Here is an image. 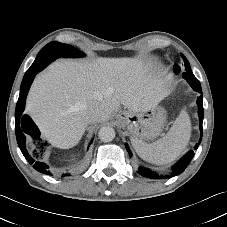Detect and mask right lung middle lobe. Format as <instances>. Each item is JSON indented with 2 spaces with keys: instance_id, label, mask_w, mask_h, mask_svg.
<instances>
[{
  "instance_id": "right-lung-middle-lobe-1",
  "label": "right lung middle lobe",
  "mask_w": 227,
  "mask_h": 227,
  "mask_svg": "<svg viewBox=\"0 0 227 227\" xmlns=\"http://www.w3.org/2000/svg\"><path fill=\"white\" fill-rule=\"evenodd\" d=\"M52 53L53 55H56L57 57H82L84 56V53L80 50L64 43L60 42H50L46 46H44L39 54L37 55L34 63L31 65V67L27 70L26 74L34 68L35 64H38V62L42 61V59L45 57L46 53Z\"/></svg>"
}]
</instances>
